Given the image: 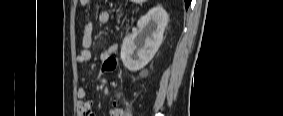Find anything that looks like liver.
<instances>
[{
    "label": "liver",
    "instance_id": "liver-1",
    "mask_svg": "<svg viewBox=\"0 0 283 116\" xmlns=\"http://www.w3.org/2000/svg\"><path fill=\"white\" fill-rule=\"evenodd\" d=\"M135 2H143V1H145V0H134Z\"/></svg>",
    "mask_w": 283,
    "mask_h": 116
}]
</instances>
